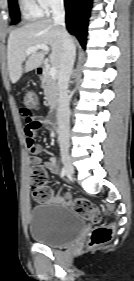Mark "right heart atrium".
Masks as SVG:
<instances>
[{
	"label": "right heart atrium",
	"mask_w": 134,
	"mask_h": 281,
	"mask_svg": "<svg viewBox=\"0 0 134 281\" xmlns=\"http://www.w3.org/2000/svg\"><path fill=\"white\" fill-rule=\"evenodd\" d=\"M42 13H50L52 10L60 7L63 0H35Z\"/></svg>",
	"instance_id": "1"
}]
</instances>
